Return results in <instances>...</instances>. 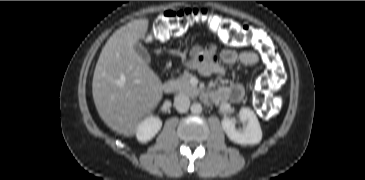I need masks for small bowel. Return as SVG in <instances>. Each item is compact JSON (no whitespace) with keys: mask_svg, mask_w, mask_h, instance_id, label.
Instances as JSON below:
<instances>
[{"mask_svg":"<svg viewBox=\"0 0 365 180\" xmlns=\"http://www.w3.org/2000/svg\"><path fill=\"white\" fill-rule=\"evenodd\" d=\"M258 56L251 51L237 52L232 49H223L217 54V47L209 45L206 47L194 46L189 52L186 65L197 70L203 75H224L223 65L252 66L258 63ZM244 96V87L240 84H232L218 89L215 97L219 100H231L239 102Z\"/></svg>","mask_w":365,"mask_h":180,"instance_id":"c3829d8e","label":"small bowel"}]
</instances>
